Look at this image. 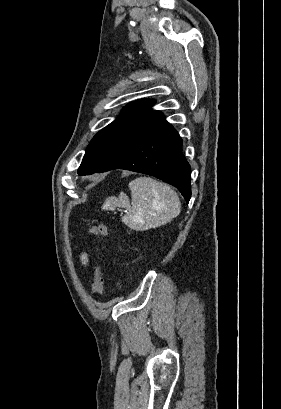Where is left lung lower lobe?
<instances>
[{
    "label": "left lung lower lobe",
    "instance_id": "1",
    "mask_svg": "<svg viewBox=\"0 0 281 409\" xmlns=\"http://www.w3.org/2000/svg\"><path fill=\"white\" fill-rule=\"evenodd\" d=\"M125 169L155 176L173 186L188 203L190 165L182 154V140L169 124L122 151L96 172Z\"/></svg>",
    "mask_w": 281,
    "mask_h": 409
}]
</instances>
